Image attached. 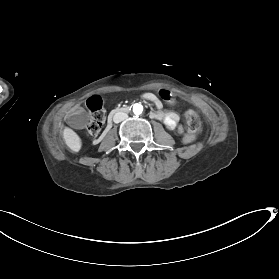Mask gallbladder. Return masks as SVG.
Listing matches in <instances>:
<instances>
[{
	"label": "gallbladder",
	"instance_id": "bac80fb5",
	"mask_svg": "<svg viewBox=\"0 0 279 279\" xmlns=\"http://www.w3.org/2000/svg\"><path fill=\"white\" fill-rule=\"evenodd\" d=\"M88 121H89V118H88L87 114H85L83 112H73L71 114L70 122H71L72 126H74L76 128L87 125Z\"/></svg>",
	"mask_w": 279,
	"mask_h": 279
}]
</instances>
